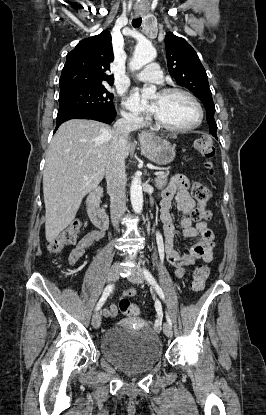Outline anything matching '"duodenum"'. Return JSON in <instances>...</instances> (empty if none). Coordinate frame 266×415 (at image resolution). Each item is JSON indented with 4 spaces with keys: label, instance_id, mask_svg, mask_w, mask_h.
<instances>
[{
    "label": "duodenum",
    "instance_id": "1",
    "mask_svg": "<svg viewBox=\"0 0 266 415\" xmlns=\"http://www.w3.org/2000/svg\"><path fill=\"white\" fill-rule=\"evenodd\" d=\"M102 189L95 188L87 199V210L92 223L99 229L108 227L109 219L107 213L100 207Z\"/></svg>",
    "mask_w": 266,
    "mask_h": 415
}]
</instances>
